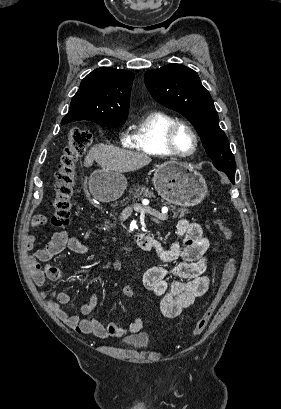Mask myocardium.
<instances>
[{"label":"myocardium","mask_w":281,"mask_h":409,"mask_svg":"<svg viewBox=\"0 0 281 409\" xmlns=\"http://www.w3.org/2000/svg\"><path fill=\"white\" fill-rule=\"evenodd\" d=\"M182 131H187L192 138V149L189 152H183L178 144V136ZM198 136L195 130L188 123L184 121L175 122L167 134V146L170 152L177 157L187 158L195 154L198 149Z\"/></svg>","instance_id":"myocardium-1"}]
</instances>
